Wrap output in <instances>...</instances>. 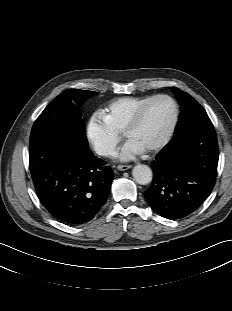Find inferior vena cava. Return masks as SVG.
<instances>
[{
    "label": "inferior vena cava",
    "mask_w": 232,
    "mask_h": 311,
    "mask_svg": "<svg viewBox=\"0 0 232 311\" xmlns=\"http://www.w3.org/2000/svg\"><path fill=\"white\" fill-rule=\"evenodd\" d=\"M99 155H114V152L108 148H100L97 150Z\"/></svg>",
    "instance_id": "inferior-vena-cava-1"
}]
</instances>
